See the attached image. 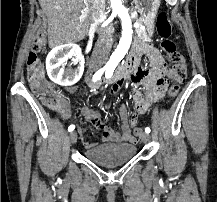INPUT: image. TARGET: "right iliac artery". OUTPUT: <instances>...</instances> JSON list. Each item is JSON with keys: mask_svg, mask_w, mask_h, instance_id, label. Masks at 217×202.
Returning <instances> with one entry per match:
<instances>
[{"mask_svg": "<svg viewBox=\"0 0 217 202\" xmlns=\"http://www.w3.org/2000/svg\"><path fill=\"white\" fill-rule=\"evenodd\" d=\"M103 73H104V70H103V69L98 70V71L93 75L92 81H93V82H96L97 80H99V79L101 78V76H102ZM74 129H75V125H70V126L68 127V131H69V132L73 131Z\"/></svg>", "mask_w": 217, "mask_h": 202, "instance_id": "obj_1", "label": "right iliac artery"}]
</instances>
